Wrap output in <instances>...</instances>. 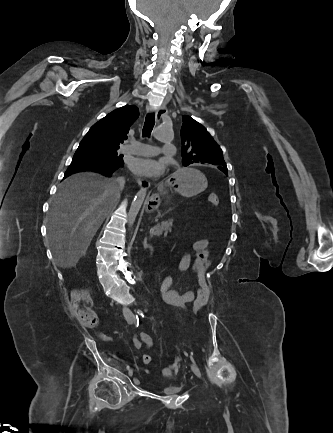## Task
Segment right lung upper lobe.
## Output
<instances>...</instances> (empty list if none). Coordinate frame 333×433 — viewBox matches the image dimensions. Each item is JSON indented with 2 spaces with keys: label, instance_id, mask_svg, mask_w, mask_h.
Listing matches in <instances>:
<instances>
[{
  "label": "right lung upper lobe",
  "instance_id": "obj_1",
  "mask_svg": "<svg viewBox=\"0 0 333 433\" xmlns=\"http://www.w3.org/2000/svg\"><path fill=\"white\" fill-rule=\"evenodd\" d=\"M138 116L136 106L118 108L95 123L82 141L104 149H119V144L127 139L130 126Z\"/></svg>",
  "mask_w": 333,
  "mask_h": 433
}]
</instances>
